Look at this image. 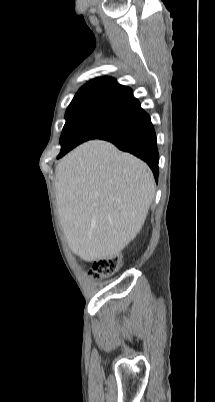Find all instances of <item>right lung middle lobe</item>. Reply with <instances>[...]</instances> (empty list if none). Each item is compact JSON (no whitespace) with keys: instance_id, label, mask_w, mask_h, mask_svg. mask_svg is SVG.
<instances>
[{"instance_id":"1","label":"right lung middle lobe","mask_w":215,"mask_h":402,"mask_svg":"<svg viewBox=\"0 0 215 402\" xmlns=\"http://www.w3.org/2000/svg\"><path fill=\"white\" fill-rule=\"evenodd\" d=\"M143 112L139 103L109 95L75 96L65 114L58 158L90 139L117 135Z\"/></svg>"}]
</instances>
